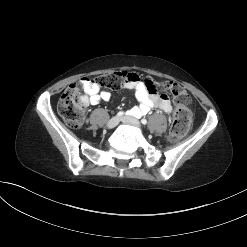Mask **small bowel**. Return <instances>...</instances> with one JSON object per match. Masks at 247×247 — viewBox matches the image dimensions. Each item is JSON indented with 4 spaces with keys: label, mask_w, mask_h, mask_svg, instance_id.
Wrapping results in <instances>:
<instances>
[{
    "label": "small bowel",
    "mask_w": 247,
    "mask_h": 247,
    "mask_svg": "<svg viewBox=\"0 0 247 247\" xmlns=\"http://www.w3.org/2000/svg\"><path fill=\"white\" fill-rule=\"evenodd\" d=\"M130 76L124 83V88L133 90L138 106L132 107L129 112L135 117L146 115L152 108H159L165 113H171L172 105L168 95L158 94L154 89L155 83L150 80H141L136 73L129 72ZM84 93L86 94V102L97 105L101 101H109L112 95L108 91L101 90L100 87L88 78H82Z\"/></svg>",
    "instance_id": "small-bowel-1"
}]
</instances>
